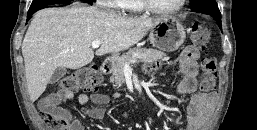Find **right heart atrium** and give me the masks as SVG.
Listing matches in <instances>:
<instances>
[{
  "mask_svg": "<svg viewBox=\"0 0 257 130\" xmlns=\"http://www.w3.org/2000/svg\"><path fill=\"white\" fill-rule=\"evenodd\" d=\"M101 6L109 8H118V0H99Z\"/></svg>",
  "mask_w": 257,
  "mask_h": 130,
  "instance_id": "1",
  "label": "right heart atrium"
}]
</instances>
